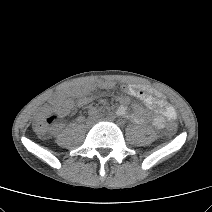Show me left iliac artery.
<instances>
[{"instance_id": "44dca946", "label": "left iliac artery", "mask_w": 212, "mask_h": 212, "mask_svg": "<svg viewBox=\"0 0 212 212\" xmlns=\"http://www.w3.org/2000/svg\"><path fill=\"white\" fill-rule=\"evenodd\" d=\"M118 124H119V125H123V121H120V120H119V121H118Z\"/></svg>"}]
</instances>
